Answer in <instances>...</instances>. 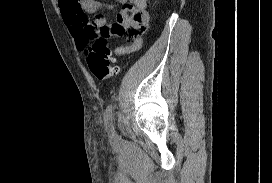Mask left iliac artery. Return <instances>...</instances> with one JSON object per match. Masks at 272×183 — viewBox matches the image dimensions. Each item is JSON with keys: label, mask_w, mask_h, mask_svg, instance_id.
<instances>
[{"label": "left iliac artery", "mask_w": 272, "mask_h": 183, "mask_svg": "<svg viewBox=\"0 0 272 183\" xmlns=\"http://www.w3.org/2000/svg\"><path fill=\"white\" fill-rule=\"evenodd\" d=\"M113 116V105L109 104L104 112V121L107 129L112 133H114Z\"/></svg>", "instance_id": "obj_1"}]
</instances>
